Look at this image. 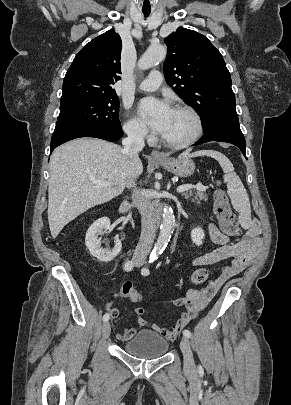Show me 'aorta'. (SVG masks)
I'll return each mask as SVG.
<instances>
[{
  "mask_svg": "<svg viewBox=\"0 0 291 405\" xmlns=\"http://www.w3.org/2000/svg\"><path fill=\"white\" fill-rule=\"evenodd\" d=\"M167 50L163 45H155L149 47L146 52L138 61V68L141 70H146L166 58ZM175 225V217L173 210L169 206H165L163 210V219L160 226V233L154 249L151 253V258L156 259L167 247L170 241L171 234L173 233V228Z\"/></svg>",
  "mask_w": 291,
  "mask_h": 405,
  "instance_id": "1",
  "label": "aorta"
}]
</instances>
